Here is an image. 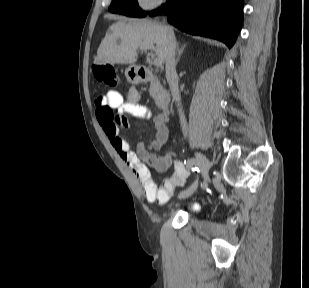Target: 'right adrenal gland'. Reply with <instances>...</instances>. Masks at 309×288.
<instances>
[{
  "mask_svg": "<svg viewBox=\"0 0 309 288\" xmlns=\"http://www.w3.org/2000/svg\"><path fill=\"white\" fill-rule=\"evenodd\" d=\"M187 44H184L182 47H179V43L176 44V51H177V59H176V63H178L181 54L183 53L185 47Z\"/></svg>",
  "mask_w": 309,
  "mask_h": 288,
  "instance_id": "1",
  "label": "right adrenal gland"
}]
</instances>
